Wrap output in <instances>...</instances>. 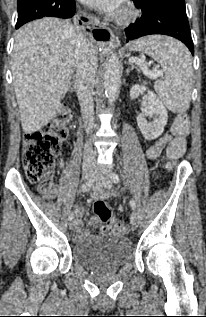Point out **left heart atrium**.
Listing matches in <instances>:
<instances>
[{
	"label": "left heart atrium",
	"instance_id": "1",
	"mask_svg": "<svg viewBox=\"0 0 206 317\" xmlns=\"http://www.w3.org/2000/svg\"><path fill=\"white\" fill-rule=\"evenodd\" d=\"M82 2L106 12L109 15L119 14L122 10L124 0H81Z\"/></svg>",
	"mask_w": 206,
	"mask_h": 317
}]
</instances>
